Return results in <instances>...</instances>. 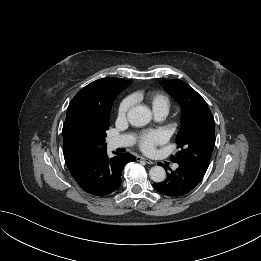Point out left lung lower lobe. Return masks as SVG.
Segmentation results:
<instances>
[{
	"instance_id": "left-lung-lower-lobe-1",
	"label": "left lung lower lobe",
	"mask_w": 261,
	"mask_h": 261,
	"mask_svg": "<svg viewBox=\"0 0 261 261\" xmlns=\"http://www.w3.org/2000/svg\"><path fill=\"white\" fill-rule=\"evenodd\" d=\"M160 165L162 164L160 163ZM178 165L175 171L167 173L165 181L153 183V187L161 194L174 197L183 196L193 190L202 180L188 167L182 164Z\"/></svg>"
}]
</instances>
